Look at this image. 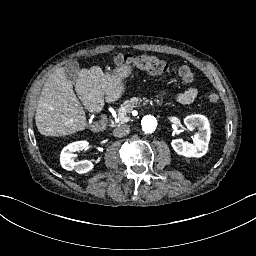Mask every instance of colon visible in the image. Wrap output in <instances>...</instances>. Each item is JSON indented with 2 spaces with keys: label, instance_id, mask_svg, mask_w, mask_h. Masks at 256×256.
<instances>
[{
  "label": "colon",
  "instance_id": "obj_1",
  "mask_svg": "<svg viewBox=\"0 0 256 256\" xmlns=\"http://www.w3.org/2000/svg\"><path fill=\"white\" fill-rule=\"evenodd\" d=\"M116 62L119 66L127 64L131 67V69L145 70L154 76L167 74L171 70L170 65L150 55H120L118 56ZM177 73L183 85H189L195 80L194 71L187 66L179 67L177 69ZM204 99L210 104H215L218 102L217 94L211 91L205 93Z\"/></svg>",
  "mask_w": 256,
  "mask_h": 256
}]
</instances>
